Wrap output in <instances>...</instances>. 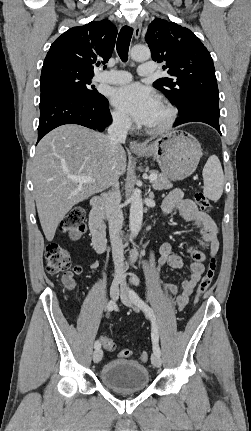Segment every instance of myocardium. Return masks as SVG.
<instances>
[{"instance_id": "1", "label": "myocardium", "mask_w": 251, "mask_h": 431, "mask_svg": "<svg viewBox=\"0 0 251 431\" xmlns=\"http://www.w3.org/2000/svg\"><path fill=\"white\" fill-rule=\"evenodd\" d=\"M159 104L165 109L166 117L164 120L155 126H145V131L148 134L158 135L169 131L175 124L178 116L176 107L171 104L168 100L160 99Z\"/></svg>"}]
</instances>
